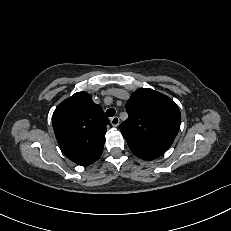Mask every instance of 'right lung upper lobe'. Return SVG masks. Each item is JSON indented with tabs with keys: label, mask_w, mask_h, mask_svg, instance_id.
<instances>
[{
	"label": "right lung upper lobe",
	"mask_w": 231,
	"mask_h": 231,
	"mask_svg": "<svg viewBox=\"0 0 231 231\" xmlns=\"http://www.w3.org/2000/svg\"><path fill=\"white\" fill-rule=\"evenodd\" d=\"M52 123L58 144L71 161L88 166L100 158L109 120L88 93H75L60 103Z\"/></svg>",
	"instance_id": "cb5924a9"
}]
</instances>
